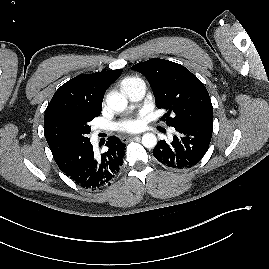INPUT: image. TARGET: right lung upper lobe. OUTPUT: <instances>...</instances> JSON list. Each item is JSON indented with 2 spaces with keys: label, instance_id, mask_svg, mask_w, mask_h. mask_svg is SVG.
I'll return each mask as SVG.
<instances>
[{
  "label": "right lung upper lobe",
  "instance_id": "cb5924a9",
  "mask_svg": "<svg viewBox=\"0 0 269 269\" xmlns=\"http://www.w3.org/2000/svg\"><path fill=\"white\" fill-rule=\"evenodd\" d=\"M121 73V69H116L81 74L59 87L45 110L44 132L49 123L62 114L99 116L105 91Z\"/></svg>",
  "mask_w": 269,
  "mask_h": 269
}]
</instances>
